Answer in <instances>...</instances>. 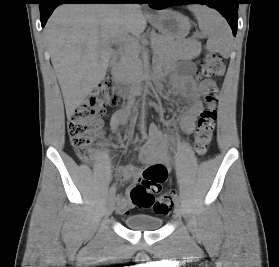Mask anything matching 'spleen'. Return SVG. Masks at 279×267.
Returning <instances> with one entry per match:
<instances>
[{
    "label": "spleen",
    "mask_w": 279,
    "mask_h": 267,
    "mask_svg": "<svg viewBox=\"0 0 279 267\" xmlns=\"http://www.w3.org/2000/svg\"><path fill=\"white\" fill-rule=\"evenodd\" d=\"M200 30L208 35L207 49L228 56L232 35L225 19L214 9L205 5H192Z\"/></svg>",
    "instance_id": "1"
}]
</instances>
